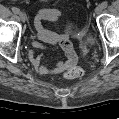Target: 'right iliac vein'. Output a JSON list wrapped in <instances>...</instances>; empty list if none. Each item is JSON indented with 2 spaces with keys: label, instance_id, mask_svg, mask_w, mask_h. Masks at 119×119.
<instances>
[{
  "label": "right iliac vein",
  "instance_id": "obj_1",
  "mask_svg": "<svg viewBox=\"0 0 119 119\" xmlns=\"http://www.w3.org/2000/svg\"><path fill=\"white\" fill-rule=\"evenodd\" d=\"M19 14V18H20V20L22 21V22H24L25 21V14L23 13V12H19L18 13Z\"/></svg>",
  "mask_w": 119,
  "mask_h": 119
}]
</instances>
